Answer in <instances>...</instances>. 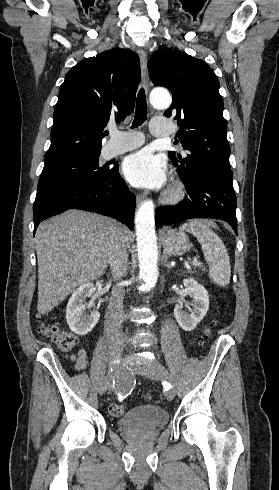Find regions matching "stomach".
I'll use <instances>...</instances> for the list:
<instances>
[{
	"mask_svg": "<svg viewBox=\"0 0 279 490\" xmlns=\"http://www.w3.org/2000/svg\"><path fill=\"white\" fill-rule=\"evenodd\" d=\"M161 238L163 248L170 256H183L191 248L188 236L181 230L163 228L161 230Z\"/></svg>",
	"mask_w": 279,
	"mask_h": 490,
	"instance_id": "0dacf381",
	"label": "stomach"
}]
</instances>
